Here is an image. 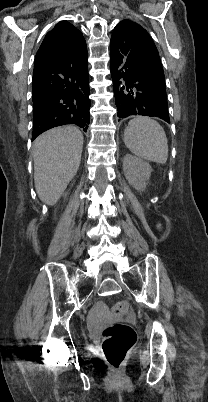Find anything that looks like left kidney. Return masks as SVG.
Segmentation results:
<instances>
[{"label": "left kidney", "instance_id": "left-kidney-1", "mask_svg": "<svg viewBox=\"0 0 208 402\" xmlns=\"http://www.w3.org/2000/svg\"><path fill=\"white\" fill-rule=\"evenodd\" d=\"M123 172L128 184L143 192L147 186L146 182L151 176L152 168L145 160L136 158L132 154H126L123 160Z\"/></svg>", "mask_w": 208, "mask_h": 402}]
</instances>
